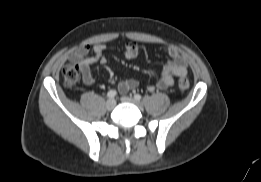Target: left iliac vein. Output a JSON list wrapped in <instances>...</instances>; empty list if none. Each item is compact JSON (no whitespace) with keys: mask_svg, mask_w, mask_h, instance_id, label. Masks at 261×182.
<instances>
[{"mask_svg":"<svg viewBox=\"0 0 261 182\" xmlns=\"http://www.w3.org/2000/svg\"><path fill=\"white\" fill-rule=\"evenodd\" d=\"M121 101L124 102V103L134 104V105H136L139 108L142 107V104L139 101H137L134 98H132V97L123 96V97H121Z\"/></svg>","mask_w":261,"mask_h":182,"instance_id":"4c4485c4","label":"left iliac vein"}]
</instances>
